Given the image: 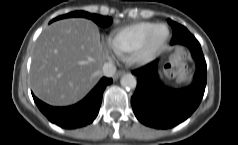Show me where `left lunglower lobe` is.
<instances>
[{
	"label": "left lung lower lobe",
	"mask_w": 238,
	"mask_h": 145,
	"mask_svg": "<svg viewBox=\"0 0 238 145\" xmlns=\"http://www.w3.org/2000/svg\"><path fill=\"white\" fill-rule=\"evenodd\" d=\"M168 23L173 30L171 45L187 46L197 70L192 84L182 89H171L160 82L157 60L132 72L137 76V87L131 98L134 114L141 123L156 129L172 128L185 121L199 106L207 82L200 43L184 26L170 19ZM169 66L166 64L165 68Z\"/></svg>",
	"instance_id": "1"
}]
</instances>
